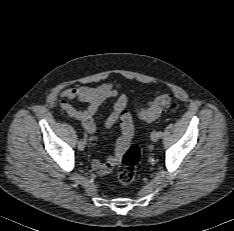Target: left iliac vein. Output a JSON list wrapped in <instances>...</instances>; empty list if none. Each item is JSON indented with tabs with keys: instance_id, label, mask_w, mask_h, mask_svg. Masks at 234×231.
I'll return each instance as SVG.
<instances>
[{
	"instance_id": "left-iliac-vein-1",
	"label": "left iliac vein",
	"mask_w": 234,
	"mask_h": 231,
	"mask_svg": "<svg viewBox=\"0 0 234 231\" xmlns=\"http://www.w3.org/2000/svg\"><path fill=\"white\" fill-rule=\"evenodd\" d=\"M150 137L153 142H157L159 140V135H158V132L156 131H153Z\"/></svg>"
}]
</instances>
